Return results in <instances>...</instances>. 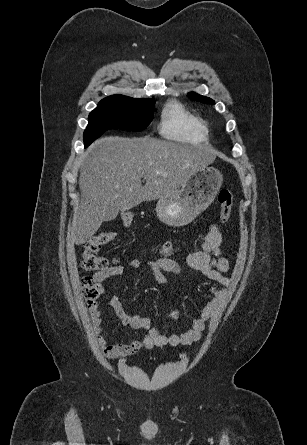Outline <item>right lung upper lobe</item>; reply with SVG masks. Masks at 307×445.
I'll use <instances>...</instances> for the list:
<instances>
[{
  "mask_svg": "<svg viewBox=\"0 0 307 445\" xmlns=\"http://www.w3.org/2000/svg\"><path fill=\"white\" fill-rule=\"evenodd\" d=\"M109 97H120V98H129V99H134V98H130V97H126V96H122V95H113V96H109ZM134 100H138V101H142V102H153V99H134Z\"/></svg>",
  "mask_w": 307,
  "mask_h": 445,
  "instance_id": "right-lung-upper-lobe-1",
  "label": "right lung upper lobe"
}]
</instances>
